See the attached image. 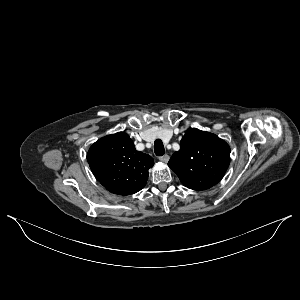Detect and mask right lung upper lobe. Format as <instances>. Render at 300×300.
Segmentation results:
<instances>
[{
    "label": "right lung upper lobe",
    "mask_w": 300,
    "mask_h": 300,
    "mask_svg": "<svg viewBox=\"0 0 300 300\" xmlns=\"http://www.w3.org/2000/svg\"><path fill=\"white\" fill-rule=\"evenodd\" d=\"M87 160L96 179L111 193L126 196L140 191L153 167L151 156L137 151L130 137L118 132L95 142Z\"/></svg>",
    "instance_id": "1"
}]
</instances>
